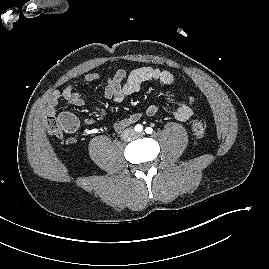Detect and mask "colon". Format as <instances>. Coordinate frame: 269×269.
<instances>
[{"label":"colon","instance_id":"1","mask_svg":"<svg viewBox=\"0 0 269 269\" xmlns=\"http://www.w3.org/2000/svg\"><path fill=\"white\" fill-rule=\"evenodd\" d=\"M46 126L51 135L61 136L63 132H73L77 128V123L73 114L62 113L58 117L49 115L46 120ZM206 128V121L202 118L194 119L191 122V130L196 137L204 136Z\"/></svg>","mask_w":269,"mask_h":269}]
</instances>
